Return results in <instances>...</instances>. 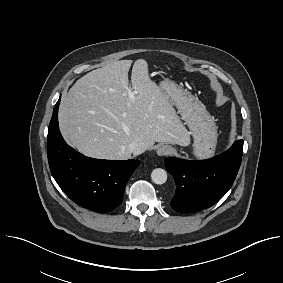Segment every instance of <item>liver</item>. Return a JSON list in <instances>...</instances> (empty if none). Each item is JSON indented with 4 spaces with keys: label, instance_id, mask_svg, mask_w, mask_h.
<instances>
[{
    "label": "liver",
    "instance_id": "obj_1",
    "mask_svg": "<svg viewBox=\"0 0 283 283\" xmlns=\"http://www.w3.org/2000/svg\"><path fill=\"white\" fill-rule=\"evenodd\" d=\"M132 60L108 63L93 70L62 96L59 126L64 139L82 154L109 160H127L128 146L137 142L145 150L155 142L190 144V133L173 104L149 77L148 63L135 61L130 99L128 72Z\"/></svg>",
    "mask_w": 283,
    "mask_h": 283
}]
</instances>
